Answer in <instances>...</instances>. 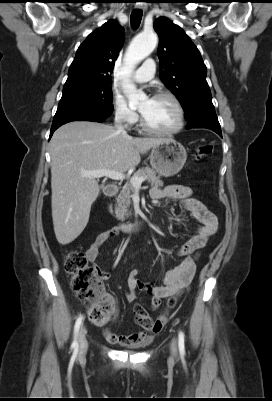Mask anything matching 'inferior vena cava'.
Segmentation results:
<instances>
[{"label":"inferior vena cava","mask_w":272,"mask_h":401,"mask_svg":"<svg viewBox=\"0 0 272 401\" xmlns=\"http://www.w3.org/2000/svg\"><path fill=\"white\" fill-rule=\"evenodd\" d=\"M122 119L123 116L121 114H117L115 116V128L119 133L127 134L126 131L124 130V127L122 126Z\"/></svg>","instance_id":"obj_1"}]
</instances>
